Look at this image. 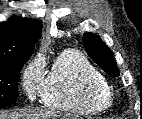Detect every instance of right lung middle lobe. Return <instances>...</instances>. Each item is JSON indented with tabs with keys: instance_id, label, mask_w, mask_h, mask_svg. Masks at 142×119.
Segmentation results:
<instances>
[{
	"instance_id": "1",
	"label": "right lung middle lobe",
	"mask_w": 142,
	"mask_h": 119,
	"mask_svg": "<svg viewBox=\"0 0 142 119\" xmlns=\"http://www.w3.org/2000/svg\"><path fill=\"white\" fill-rule=\"evenodd\" d=\"M28 58L0 62V108L13 104L18 98L20 71Z\"/></svg>"
}]
</instances>
